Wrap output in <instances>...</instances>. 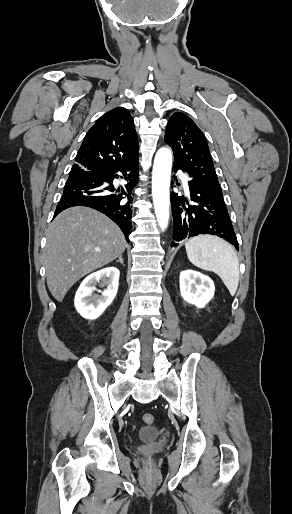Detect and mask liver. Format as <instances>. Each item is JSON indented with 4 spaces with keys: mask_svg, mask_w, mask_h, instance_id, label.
I'll list each match as a JSON object with an SVG mask.
<instances>
[{
    "mask_svg": "<svg viewBox=\"0 0 292 514\" xmlns=\"http://www.w3.org/2000/svg\"><path fill=\"white\" fill-rule=\"evenodd\" d=\"M125 246L120 228L97 210L76 206L61 212L46 232L44 266L52 296L62 302L77 280L120 258Z\"/></svg>",
    "mask_w": 292,
    "mask_h": 514,
    "instance_id": "obj_1",
    "label": "liver"
}]
</instances>
